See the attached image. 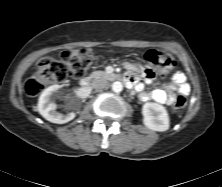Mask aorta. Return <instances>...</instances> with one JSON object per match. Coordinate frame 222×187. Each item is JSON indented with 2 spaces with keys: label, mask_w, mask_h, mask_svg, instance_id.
<instances>
[{
  "label": "aorta",
  "mask_w": 222,
  "mask_h": 187,
  "mask_svg": "<svg viewBox=\"0 0 222 187\" xmlns=\"http://www.w3.org/2000/svg\"><path fill=\"white\" fill-rule=\"evenodd\" d=\"M112 90L116 93H119L123 90V85L121 82L116 81L114 83H112Z\"/></svg>",
  "instance_id": "aorta-1"
}]
</instances>
